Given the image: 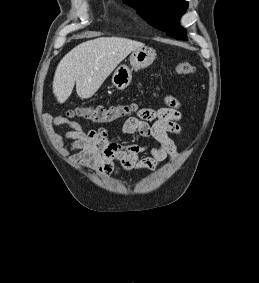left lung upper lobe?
<instances>
[{"label":"left lung upper lobe","instance_id":"obj_1","mask_svg":"<svg viewBox=\"0 0 259 283\" xmlns=\"http://www.w3.org/2000/svg\"><path fill=\"white\" fill-rule=\"evenodd\" d=\"M135 8L152 26L165 31L167 35L185 39V29L179 26V19L188 8L184 0H123Z\"/></svg>","mask_w":259,"mask_h":283}]
</instances>
